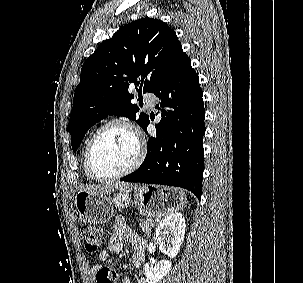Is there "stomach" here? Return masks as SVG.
Instances as JSON below:
<instances>
[{"mask_svg": "<svg viewBox=\"0 0 303 283\" xmlns=\"http://www.w3.org/2000/svg\"><path fill=\"white\" fill-rule=\"evenodd\" d=\"M132 191L138 210L149 218L162 217L179 211L186 202L182 190L156 185L134 186L114 194L91 195L79 191L74 200L79 219L91 224L108 222L114 216V208L121 210L131 204Z\"/></svg>", "mask_w": 303, "mask_h": 283, "instance_id": "stomach-1", "label": "stomach"}]
</instances>
